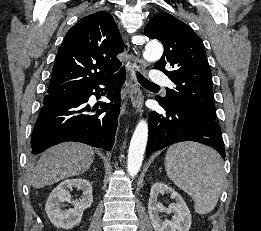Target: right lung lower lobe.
<instances>
[{"label":"right lung lower lobe","mask_w":261,"mask_h":231,"mask_svg":"<svg viewBox=\"0 0 261 231\" xmlns=\"http://www.w3.org/2000/svg\"><path fill=\"white\" fill-rule=\"evenodd\" d=\"M125 70L113 77L93 84L81 94L44 105L36 120L31 137L32 154H39L49 147L66 141L82 142L93 147L110 151L115 139L120 111V88L125 81ZM118 81L107 98L110 103H103L101 109L91 108L87 101L91 95L99 96L103 90L99 85L109 86ZM95 90L96 92H93ZM113 91V92H112Z\"/></svg>","instance_id":"98d812e1"}]
</instances>
